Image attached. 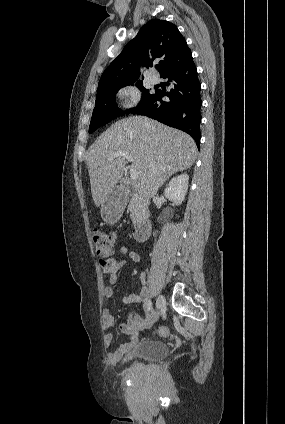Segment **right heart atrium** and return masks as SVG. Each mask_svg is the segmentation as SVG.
<instances>
[{"mask_svg":"<svg viewBox=\"0 0 285 424\" xmlns=\"http://www.w3.org/2000/svg\"><path fill=\"white\" fill-rule=\"evenodd\" d=\"M120 108L127 110L135 107L140 100V92L134 85L120 87L116 93Z\"/></svg>","mask_w":285,"mask_h":424,"instance_id":"1","label":"right heart atrium"}]
</instances>
